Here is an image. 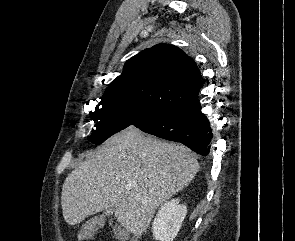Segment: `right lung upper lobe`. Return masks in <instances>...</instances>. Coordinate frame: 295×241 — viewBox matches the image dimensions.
<instances>
[{
	"mask_svg": "<svg viewBox=\"0 0 295 241\" xmlns=\"http://www.w3.org/2000/svg\"><path fill=\"white\" fill-rule=\"evenodd\" d=\"M201 86L199 68L187 54L174 45L158 44L130 58L104 97L165 112L198 98Z\"/></svg>",
	"mask_w": 295,
	"mask_h": 241,
	"instance_id": "cb5924a9",
	"label": "right lung upper lobe"
}]
</instances>
